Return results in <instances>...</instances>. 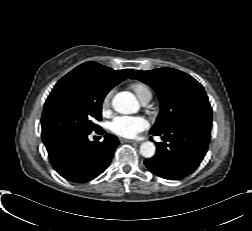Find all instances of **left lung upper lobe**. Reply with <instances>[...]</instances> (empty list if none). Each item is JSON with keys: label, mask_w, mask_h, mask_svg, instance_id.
<instances>
[{"label": "left lung upper lobe", "mask_w": 252, "mask_h": 231, "mask_svg": "<svg viewBox=\"0 0 252 231\" xmlns=\"http://www.w3.org/2000/svg\"><path fill=\"white\" fill-rule=\"evenodd\" d=\"M130 78L150 85L160 99L161 110L150 133H163L189 119L212 121L208 97L192 76L173 68H158L135 71Z\"/></svg>", "instance_id": "5c2ea615"}]
</instances>
